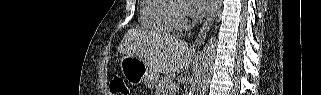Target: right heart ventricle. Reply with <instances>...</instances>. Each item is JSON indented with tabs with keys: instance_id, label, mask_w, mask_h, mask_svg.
I'll use <instances>...</instances> for the list:
<instances>
[{
	"instance_id": "1",
	"label": "right heart ventricle",
	"mask_w": 321,
	"mask_h": 95,
	"mask_svg": "<svg viewBox=\"0 0 321 95\" xmlns=\"http://www.w3.org/2000/svg\"><path fill=\"white\" fill-rule=\"evenodd\" d=\"M176 1L143 0L140 8L142 24L156 33H171L175 30L172 20Z\"/></svg>"
}]
</instances>
